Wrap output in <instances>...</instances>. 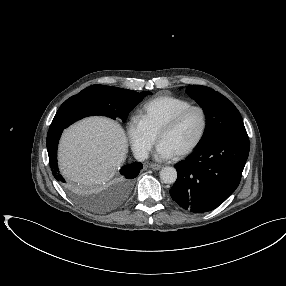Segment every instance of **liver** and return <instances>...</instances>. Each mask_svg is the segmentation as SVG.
<instances>
[{
    "mask_svg": "<svg viewBox=\"0 0 286 286\" xmlns=\"http://www.w3.org/2000/svg\"><path fill=\"white\" fill-rule=\"evenodd\" d=\"M127 151V138L120 124L104 117H90L64 131L59 165L73 182L100 184L115 174Z\"/></svg>",
    "mask_w": 286,
    "mask_h": 286,
    "instance_id": "1",
    "label": "liver"
}]
</instances>
